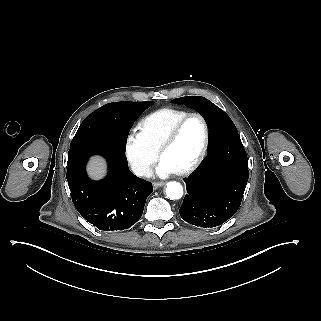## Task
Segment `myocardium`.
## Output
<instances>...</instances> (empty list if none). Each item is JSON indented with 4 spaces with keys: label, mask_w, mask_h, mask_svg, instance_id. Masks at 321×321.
Instances as JSON below:
<instances>
[{
    "label": "myocardium",
    "mask_w": 321,
    "mask_h": 321,
    "mask_svg": "<svg viewBox=\"0 0 321 321\" xmlns=\"http://www.w3.org/2000/svg\"><path fill=\"white\" fill-rule=\"evenodd\" d=\"M192 118H199L202 122L203 143H202L201 149H200L198 155L196 156V158L194 159V161L187 168L179 171V173L182 175H189V174L193 173L201 165L204 158L206 157V154H207V151L209 148V143H210V129H209V124H208L207 120L205 119V117L199 113H190V114L182 117L181 119H179L177 122H175L172 125V127L164 135V137L161 139V141L158 145V149L160 152L164 146L170 144L171 142H173L175 140V138H176L180 128L183 126V124Z\"/></svg>",
    "instance_id": "1"
}]
</instances>
